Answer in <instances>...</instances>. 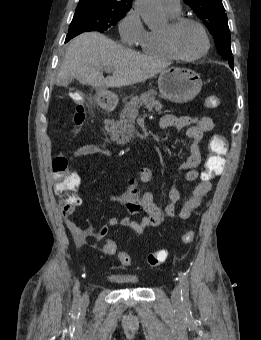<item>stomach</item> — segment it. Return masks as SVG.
Wrapping results in <instances>:
<instances>
[{
	"label": "stomach",
	"mask_w": 261,
	"mask_h": 340,
	"mask_svg": "<svg viewBox=\"0 0 261 340\" xmlns=\"http://www.w3.org/2000/svg\"><path fill=\"white\" fill-rule=\"evenodd\" d=\"M202 85L200 75L185 68H166L158 77L161 97L175 103H187L193 100L200 93ZM99 101L105 107H111L118 101V96L111 91L101 90Z\"/></svg>",
	"instance_id": "obj_1"
}]
</instances>
